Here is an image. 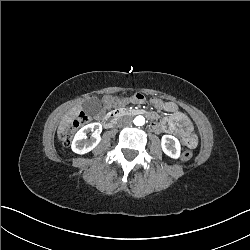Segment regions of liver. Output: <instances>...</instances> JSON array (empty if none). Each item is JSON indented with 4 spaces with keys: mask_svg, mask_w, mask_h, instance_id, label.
Instances as JSON below:
<instances>
[{
    "mask_svg": "<svg viewBox=\"0 0 250 250\" xmlns=\"http://www.w3.org/2000/svg\"><path fill=\"white\" fill-rule=\"evenodd\" d=\"M82 110L81 104H77L75 107L71 108L69 111L66 112L63 119L59 124V130H64L65 127L73 121L75 117L78 116L79 112Z\"/></svg>",
    "mask_w": 250,
    "mask_h": 250,
    "instance_id": "obj_1",
    "label": "liver"
}]
</instances>
